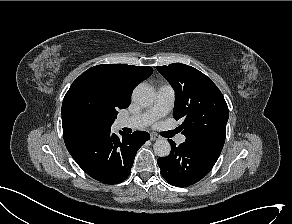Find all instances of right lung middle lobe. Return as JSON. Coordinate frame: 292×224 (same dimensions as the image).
<instances>
[{"mask_svg":"<svg viewBox=\"0 0 292 224\" xmlns=\"http://www.w3.org/2000/svg\"><path fill=\"white\" fill-rule=\"evenodd\" d=\"M63 129L88 131L111 130L117 118V107L98 83L91 80L74 81L62 103Z\"/></svg>","mask_w":292,"mask_h":224,"instance_id":"right-lung-middle-lobe-1","label":"right lung middle lobe"}]
</instances>
